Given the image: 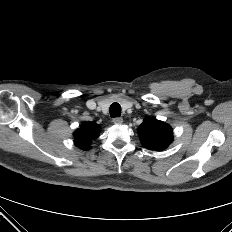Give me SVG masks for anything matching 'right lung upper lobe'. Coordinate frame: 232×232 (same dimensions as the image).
<instances>
[{"instance_id":"1","label":"right lung upper lobe","mask_w":232,"mask_h":232,"mask_svg":"<svg viewBox=\"0 0 232 232\" xmlns=\"http://www.w3.org/2000/svg\"><path fill=\"white\" fill-rule=\"evenodd\" d=\"M100 126L93 122H86L74 132L75 144L83 150H88L94 139L99 135Z\"/></svg>"}]
</instances>
